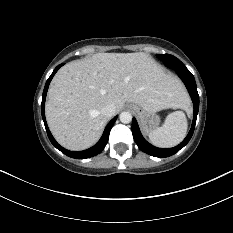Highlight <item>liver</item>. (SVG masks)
Listing matches in <instances>:
<instances>
[{
  "mask_svg": "<svg viewBox=\"0 0 233 233\" xmlns=\"http://www.w3.org/2000/svg\"><path fill=\"white\" fill-rule=\"evenodd\" d=\"M126 102L157 112L187 108L189 99L182 83L148 54L97 53L57 72L48 90L46 119L60 145L84 150L99 140L108 121L102 108L113 104L117 113Z\"/></svg>",
  "mask_w": 233,
  "mask_h": 233,
  "instance_id": "liver-1",
  "label": "liver"
}]
</instances>
